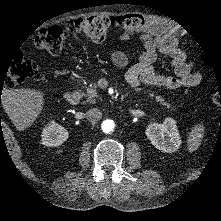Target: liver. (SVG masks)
<instances>
[{
	"instance_id": "6515ba94",
	"label": "liver",
	"mask_w": 221,
	"mask_h": 221,
	"mask_svg": "<svg viewBox=\"0 0 221 221\" xmlns=\"http://www.w3.org/2000/svg\"><path fill=\"white\" fill-rule=\"evenodd\" d=\"M43 93L34 89H11L4 92L2 105L18 131L36 120L43 108Z\"/></svg>"
}]
</instances>
